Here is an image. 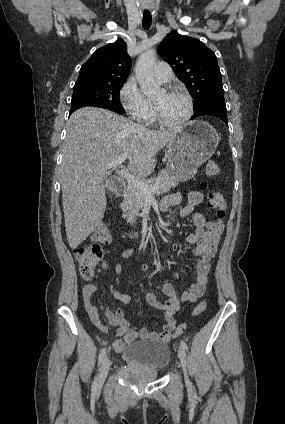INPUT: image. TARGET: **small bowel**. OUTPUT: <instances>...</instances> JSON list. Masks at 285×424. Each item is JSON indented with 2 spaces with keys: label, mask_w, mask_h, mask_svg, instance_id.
Returning a JSON list of instances; mask_svg holds the SVG:
<instances>
[{
  "label": "small bowel",
  "mask_w": 285,
  "mask_h": 424,
  "mask_svg": "<svg viewBox=\"0 0 285 424\" xmlns=\"http://www.w3.org/2000/svg\"><path fill=\"white\" fill-rule=\"evenodd\" d=\"M204 201V195L200 191H191L187 195L186 204L179 212L180 218H186L190 216L189 222L193 226L192 232L186 236V243L191 245H198L206 236V228L209 223L201 211H194L195 208L202 204ZM181 202V195L178 192H172L166 194L160 203V209L162 212L167 213L171 208L177 206ZM179 243L173 245L174 248L178 247ZM134 253L132 248L124 249L118 262L115 265V273L119 278L121 276L122 268L121 262L131 257ZM196 254H200L199 249L195 251ZM210 259L203 256L197 258L196 264V276L194 283L181 291H178L171 283H164L161 286L156 287V292L163 293L167 296V300L162 302L157 298L154 292H148L146 294V302L149 306L154 309L160 310L163 313V326L160 331H151L146 327L137 329L130 326V324L124 318L123 311L121 309L112 310L108 306L104 307V316L106 319L116 327L114 333L115 341L113 348L117 352H122L127 344H130L140 339L146 340H158L162 342H169L172 337L180 335L175 334L177 329L174 315L181 308L182 303H192L199 299L205 292L206 284L208 280V274L210 272ZM147 267H144L146 269ZM170 275L173 278H177L179 273L177 271H170ZM97 291L96 283H89L84 285L82 294L86 312L91 322L101 331L106 332V326L103 324L98 307L93 301V296ZM113 296L122 304H129L131 302L130 296L113 290Z\"/></svg>",
  "instance_id": "small-bowel-1"
}]
</instances>
